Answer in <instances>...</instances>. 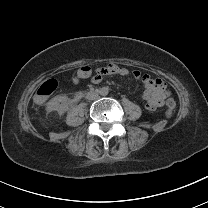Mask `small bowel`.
<instances>
[{"instance_id":"c3829d8e","label":"small bowel","mask_w":208,"mask_h":208,"mask_svg":"<svg viewBox=\"0 0 208 208\" xmlns=\"http://www.w3.org/2000/svg\"><path fill=\"white\" fill-rule=\"evenodd\" d=\"M98 75L93 77L94 83H99L104 75L117 74V75H128L129 71L124 67L118 66H107L104 69L97 70ZM136 76H139V72H135ZM143 82L146 85V92L142 96V101L148 110H155L162 106L166 97L169 96L170 92L167 89L166 83L160 79L151 77L148 74L142 76Z\"/></svg>"}]
</instances>
